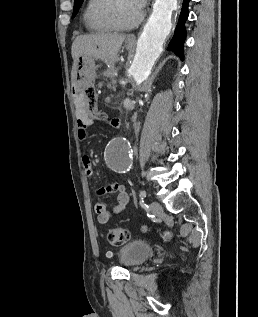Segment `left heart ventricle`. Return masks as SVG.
<instances>
[{"label":"left heart ventricle","instance_id":"left-heart-ventricle-1","mask_svg":"<svg viewBox=\"0 0 258 317\" xmlns=\"http://www.w3.org/2000/svg\"><path fill=\"white\" fill-rule=\"evenodd\" d=\"M114 16L119 26L127 28L135 22L137 11L133 5L124 2L116 8Z\"/></svg>","mask_w":258,"mask_h":317}]
</instances>
